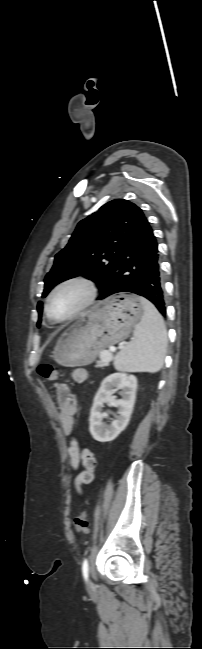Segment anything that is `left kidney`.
<instances>
[{
	"label": "left kidney",
	"instance_id": "1",
	"mask_svg": "<svg viewBox=\"0 0 202 649\" xmlns=\"http://www.w3.org/2000/svg\"><path fill=\"white\" fill-rule=\"evenodd\" d=\"M136 389L137 378L132 374L113 373L104 378L94 397L89 418V430L95 440L99 442L112 441L126 428L133 411ZM116 390H121L122 399H115L113 394ZM105 402H108L111 407L118 408V416L110 425L102 422L105 417L103 411Z\"/></svg>",
	"mask_w": 202,
	"mask_h": 649
}]
</instances>
